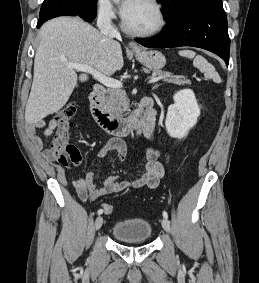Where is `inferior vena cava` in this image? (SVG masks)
<instances>
[{
    "instance_id": "obj_1",
    "label": "inferior vena cava",
    "mask_w": 259,
    "mask_h": 283,
    "mask_svg": "<svg viewBox=\"0 0 259 283\" xmlns=\"http://www.w3.org/2000/svg\"><path fill=\"white\" fill-rule=\"evenodd\" d=\"M97 26L106 38L114 42V38L119 39L120 34L117 29L114 27L111 17H110V8L102 7L98 13Z\"/></svg>"
}]
</instances>
